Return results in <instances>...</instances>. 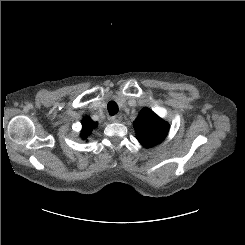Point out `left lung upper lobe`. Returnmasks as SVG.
<instances>
[{
    "label": "left lung upper lobe",
    "instance_id": "5c2ea615",
    "mask_svg": "<svg viewBox=\"0 0 245 245\" xmlns=\"http://www.w3.org/2000/svg\"><path fill=\"white\" fill-rule=\"evenodd\" d=\"M138 141L146 148L157 145L166 137L169 124L158 117L152 110L143 109L134 121Z\"/></svg>",
    "mask_w": 245,
    "mask_h": 245
}]
</instances>
